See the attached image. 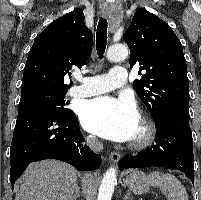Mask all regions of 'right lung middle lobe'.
I'll return each instance as SVG.
<instances>
[{
    "instance_id": "dd1d6c3e",
    "label": "right lung middle lobe",
    "mask_w": 201,
    "mask_h": 200,
    "mask_svg": "<svg viewBox=\"0 0 201 200\" xmlns=\"http://www.w3.org/2000/svg\"><path fill=\"white\" fill-rule=\"evenodd\" d=\"M66 92H35L22 94L20 103H19V111L22 112L28 109L46 107L54 109L61 113H68L69 109H66L64 96Z\"/></svg>"
}]
</instances>
